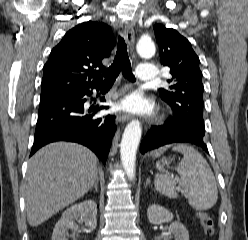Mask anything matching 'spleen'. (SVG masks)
Listing matches in <instances>:
<instances>
[{
    "mask_svg": "<svg viewBox=\"0 0 248 240\" xmlns=\"http://www.w3.org/2000/svg\"><path fill=\"white\" fill-rule=\"evenodd\" d=\"M173 150L183 154V159L176 168L180 178H174L170 174H157L154 180L156 190L167 197L177 198L178 184L194 209H210L217 202L218 189L209 164L189 145L178 144Z\"/></svg>",
    "mask_w": 248,
    "mask_h": 240,
    "instance_id": "spleen-1",
    "label": "spleen"
}]
</instances>
